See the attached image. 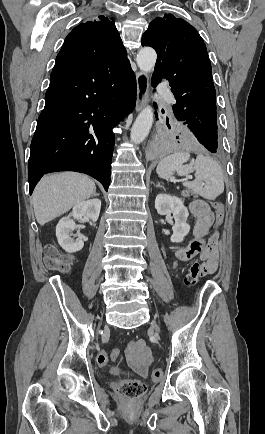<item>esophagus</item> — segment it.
<instances>
[{"mask_svg": "<svg viewBox=\"0 0 265 434\" xmlns=\"http://www.w3.org/2000/svg\"><path fill=\"white\" fill-rule=\"evenodd\" d=\"M137 95H136V111L140 112L148 102L149 96V77L145 72H137Z\"/></svg>", "mask_w": 265, "mask_h": 434, "instance_id": "obj_1", "label": "esophagus"}]
</instances>
